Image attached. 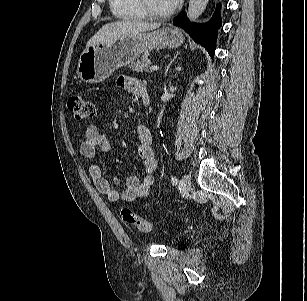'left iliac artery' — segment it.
I'll use <instances>...</instances> for the list:
<instances>
[{
  "label": "left iliac artery",
  "instance_id": "44dca946",
  "mask_svg": "<svg viewBox=\"0 0 307 301\" xmlns=\"http://www.w3.org/2000/svg\"><path fill=\"white\" fill-rule=\"evenodd\" d=\"M171 182H172L173 185H177L178 184V178L176 176H172Z\"/></svg>",
  "mask_w": 307,
  "mask_h": 301
}]
</instances>
